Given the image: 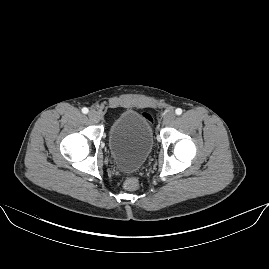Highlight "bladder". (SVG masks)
I'll return each mask as SVG.
<instances>
[{"instance_id":"obj_1","label":"bladder","mask_w":269,"mask_h":269,"mask_svg":"<svg viewBox=\"0 0 269 269\" xmlns=\"http://www.w3.org/2000/svg\"><path fill=\"white\" fill-rule=\"evenodd\" d=\"M107 139L114 165L123 172H136L153 149V124L136 110L126 109L110 124Z\"/></svg>"}]
</instances>
